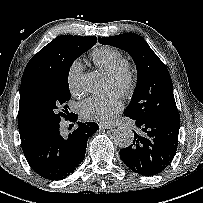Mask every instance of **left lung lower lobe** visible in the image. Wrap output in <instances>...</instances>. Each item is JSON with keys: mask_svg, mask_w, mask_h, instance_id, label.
<instances>
[{"mask_svg": "<svg viewBox=\"0 0 203 203\" xmlns=\"http://www.w3.org/2000/svg\"><path fill=\"white\" fill-rule=\"evenodd\" d=\"M133 143L120 150V157L133 172L153 176L164 171L173 160L180 120L133 119Z\"/></svg>", "mask_w": 203, "mask_h": 203, "instance_id": "1", "label": "left lung lower lobe"}]
</instances>
